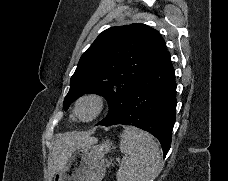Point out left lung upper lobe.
<instances>
[{
    "label": "left lung upper lobe",
    "mask_w": 228,
    "mask_h": 181,
    "mask_svg": "<svg viewBox=\"0 0 228 181\" xmlns=\"http://www.w3.org/2000/svg\"><path fill=\"white\" fill-rule=\"evenodd\" d=\"M166 51L160 33L145 24L115 26L103 31L81 56L64 100L86 93L106 98L107 116L97 125L111 126L121 120L132 91L144 71Z\"/></svg>",
    "instance_id": "5c2ea615"
}]
</instances>
